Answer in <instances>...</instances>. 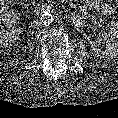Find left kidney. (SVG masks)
I'll return each instance as SVG.
<instances>
[{"instance_id": "obj_1", "label": "left kidney", "mask_w": 118, "mask_h": 118, "mask_svg": "<svg viewBox=\"0 0 118 118\" xmlns=\"http://www.w3.org/2000/svg\"><path fill=\"white\" fill-rule=\"evenodd\" d=\"M106 43V49L103 51L95 45L96 43ZM92 49L96 56L103 58L105 60H112L118 55V42L114 39L113 36L106 32L99 33L94 41L91 42Z\"/></svg>"}]
</instances>
